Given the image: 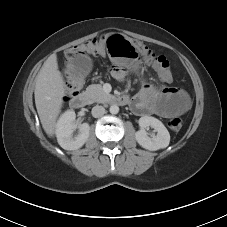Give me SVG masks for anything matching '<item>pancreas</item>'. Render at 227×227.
Returning <instances> with one entry per match:
<instances>
[{
	"mask_svg": "<svg viewBox=\"0 0 227 227\" xmlns=\"http://www.w3.org/2000/svg\"><path fill=\"white\" fill-rule=\"evenodd\" d=\"M86 92L89 94L92 102L106 103L112 98V95L104 92L100 84L90 85Z\"/></svg>",
	"mask_w": 227,
	"mask_h": 227,
	"instance_id": "1",
	"label": "pancreas"
}]
</instances>
